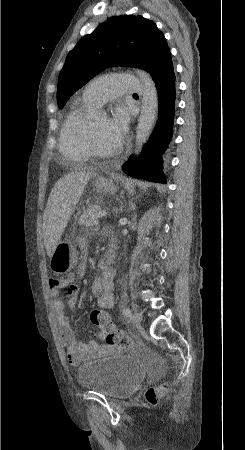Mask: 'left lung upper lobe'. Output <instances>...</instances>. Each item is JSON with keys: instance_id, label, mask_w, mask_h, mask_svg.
<instances>
[{"instance_id": "1", "label": "left lung upper lobe", "mask_w": 245, "mask_h": 450, "mask_svg": "<svg viewBox=\"0 0 245 450\" xmlns=\"http://www.w3.org/2000/svg\"><path fill=\"white\" fill-rule=\"evenodd\" d=\"M169 60L166 39L153 21L139 15L112 17L69 52L58 79V107L108 67H138L153 75Z\"/></svg>"}]
</instances>
